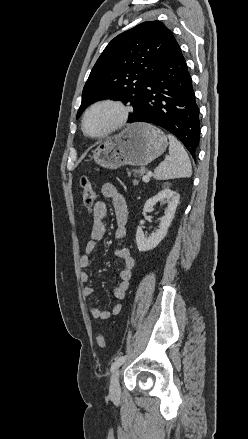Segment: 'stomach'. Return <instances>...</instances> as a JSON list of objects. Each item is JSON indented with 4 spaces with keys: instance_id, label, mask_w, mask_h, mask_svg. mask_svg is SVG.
Segmentation results:
<instances>
[{
    "instance_id": "0dacf381",
    "label": "stomach",
    "mask_w": 248,
    "mask_h": 439,
    "mask_svg": "<svg viewBox=\"0 0 248 439\" xmlns=\"http://www.w3.org/2000/svg\"><path fill=\"white\" fill-rule=\"evenodd\" d=\"M167 137L147 123L129 125L120 134L99 144L93 151L96 164L106 169L123 165L145 166L164 153Z\"/></svg>"
}]
</instances>
